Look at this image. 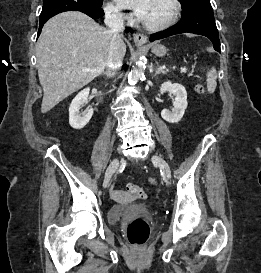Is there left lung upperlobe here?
<instances>
[{
    "instance_id": "obj_1",
    "label": "left lung upper lobe",
    "mask_w": 261,
    "mask_h": 273,
    "mask_svg": "<svg viewBox=\"0 0 261 273\" xmlns=\"http://www.w3.org/2000/svg\"><path fill=\"white\" fill-rule=\"evenodd\" d=\"M181 5H182V8L190 5L191 3L195 2V1H198V0H179Z\"/></svg>"
}]
</instances>
